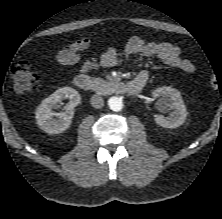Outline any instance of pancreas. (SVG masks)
Instances as JSON below:
<instances>
[{
    "label": "pancreas",
    "instance_id": "cf45deb5",
    "mask_svg": "<svg viewBox=\"0 0 222 219\" xmlns=\"http://www.w3.org/2000/svg\"><path fill=\"white\" fill-rule=\"evenodd\" d=\"M104 83H105V81L101 78H93V87H94V89H97L99 86H101Z\"/></svg>",
    "mask_w": 222,
    "mask_h": 219
}]
</instances>
